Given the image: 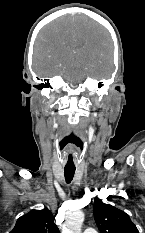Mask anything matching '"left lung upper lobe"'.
<instances>
[{"label": "left lung upper lobe", "mask_w": 145, "mask_h": 233, "mask_svg": "<svg viewBox=\"0 0 145 233\" xmlns=\"http://www.w3.org/2000/svg\"><path fill=\"white\" fill-rule=\"evenodd\" d=\"M94 219L100 233H139L128 214L100 199L94 202Z\"/></svg>", "instance_id": "obj_1"}]
</instances>
